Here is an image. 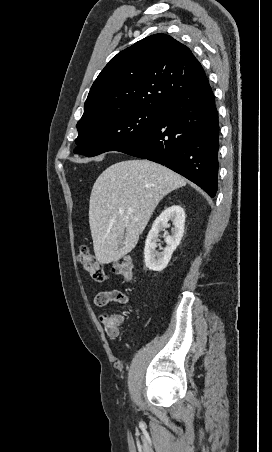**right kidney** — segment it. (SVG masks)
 Wrapping results in <instances>:
<instances>
[{
    "label": "right kidney",
    "instance_id": "right-kidney-1",
    "mask_svg": "<svg viewBox=\"0 0 272 452\" xmlns=\"http://www.w3.org/2000/svg\"><path fill=\"white\" fill-rule=\"evenodd\" d=\"M173 222L174 228L172 235L165 234L164 239L166 247L162 253L157 248L159 232L165 229L168 221ZM185 212L179 205H172L166 208L154 221L151 230L148 233L144 248L145 265L149 270L162 271L169 263L172 253L180 244L184 233Z\"/></svg>",
    "mask_w": 272,
    "mask_h": 452
}]
</instances>
